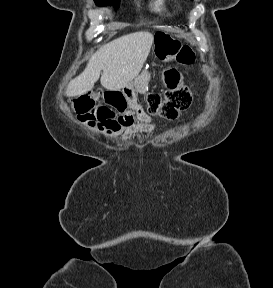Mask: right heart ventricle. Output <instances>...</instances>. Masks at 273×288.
Segmentation results:
<instances>
[{
	"instance_id": "e07e8e85",
	"label": "right heart ventricle",
	"mask_w": 273,
	"mask_h": 288,
	"mask_svg": "<svg viewBox=\"0 0 273 288\" xmlns=\"http://www.w3.org/2000/svg\"><path fill=\"white\" fill-rule=\"evenodd\" d=\"M152 7L156 11H161L163 10L164 7V0H155L152 4Z\"/></svg>"
}]
</instances>
